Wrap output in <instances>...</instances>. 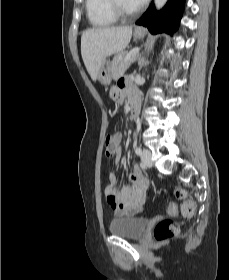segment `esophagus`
Returning a JSON list of instances; mask_svg holds the SVG:
<instances>
[{"mask_svg":"<svg viewBox=\"0 0 229 280\" xmlns=\"http://www.w3.org/2000/svg\"><path fill=\"white\" fill-rule=\"evenodd\" d=\"M136 30H141V28L137 27Z\"/></svg>","mask_w":229,"mask_h":280,"instance_id":"1","label":"esophagus"}]
</instances>
